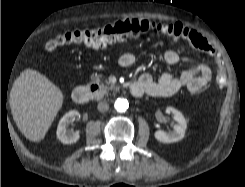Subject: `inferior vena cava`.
Instances as JSON below:
<instances>
[{"instance_id": "inferior-vena-cava-1", "label": "inferior vena cava", "mask_w": 245, "mask_h": 187, "mask_svg": "<svg viewBox=\"0 0 245 187\" xmlns=\"http://www.w3.org/2000/svg\"><path fill=\"white\" fill-rule=\"evenodd\" d=\"M97 108H98L99 112L104 113V112L108 111L109 104L106 101H101L98 103Z\"/></svg>"}]
</instances>
